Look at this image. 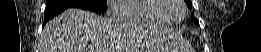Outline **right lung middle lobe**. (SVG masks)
Listing matches in <instances>:
<instances>
[{
  "label": "right lung middle lobe",
  "instance_id": "dd1d6c3e",
  "mask_svg": "<svg viewBox=\"0 0 261 52\" xmlns=\"http://www.w3.org/2000/svg\"><path fill=\"white\" fill-rule=\"evenodd\" d=\"M47 4H65L101 13L107 10V0H47Z\"/></svg>",
  "mask_w": 261,
  "mask_h": 52
}]
</instances>
